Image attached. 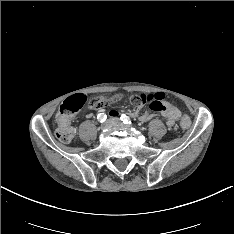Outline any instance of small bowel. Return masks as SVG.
I'll return each mask as SVG.
<instances>
[{
  "label": "small bowel",
  "mask_w": 234,
  "mask_h": 234,
  "mask_svg": "<svg viewBox=\"0 0 234 234\" xmlns=\"http://www.w3.org/2000/svg\"><path fill=\"white\" fill-rule=\"evenodd\" d=\"M99 99L102 102V105L98 109H103L106 105L110 104L111 102V99L107 97H102ZM152 110L153 111L151 112L144 113H140L138 110H136L134 111L133 115L136 116L140 121L147 122L155 116L154 112H158L166 119V124L168 126H173L181 118L180 109L165 100L162 102L160 109ZM110 115L117 116L118 112L113 110L110 112Z\"/></svg>",
  "instance_id": "1"
}]
</instances>
